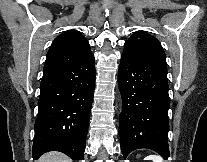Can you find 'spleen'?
<instances>
[{
	"instance_id": "spleen-1",
	"label": "spleen",
	"mask_w": 207,
	"mask_h": 162,
	"mask_svg": "<svg viewBox=\"0 0 207 162\" xmlns=\"http://www.w3.org/2000/svg\"><path fill=\"white\" fill-rule=\"evenodd\" d=\"M144 160H152L153 162H164L163 158L159 155H149Z\"/></svg>"
}]
</instances>
